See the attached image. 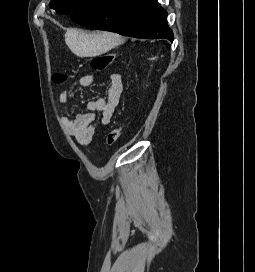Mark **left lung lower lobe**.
Listing matches in <instances>:
<instances>
[{"label": "left lung lower lobe", "instance_id": "0a47b994", "mask_svg": "<svg viewBox=\"0 0 255 272\" xmlns=\"http://www.w3.org/2000/svg\"><path fill=\"white\" fill-rule=\"evenodd\" d=\"M72 21L135 38H174L157 0H90L73 13Z\"/></svg>", "mask_w": 255, "mask_h": 272}]
</instances>
